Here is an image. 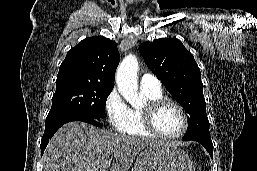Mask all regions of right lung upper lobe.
Here are the masks:
<instances>
[{
    "mask_svg": "<svg viewBox=\"0 0 257 171\" xmlns=\"http://www.w3.org/2000/svg\"><path fill=\"white\" fill-rule=\"evenodd\" d=\"M120 61L117 44L105 37H91L70 49L60 65L56 87L90 84L114 87Z\"/></svg>",
    "mask_w": 257,
    "mask_h": 171,
    "instance_id": "1",
    "label": "right lung upper lobe"
}]
</instances>
